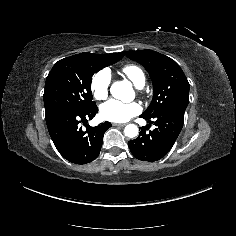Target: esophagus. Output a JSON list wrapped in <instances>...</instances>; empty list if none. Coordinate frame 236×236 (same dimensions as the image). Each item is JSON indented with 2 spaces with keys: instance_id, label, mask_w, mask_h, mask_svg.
<instances>
[{
  "instance_id": "34e87169",
  "label": "esophagus",
  "mask_w": 236,
  "mask_h": 236,
  "mask_svg": "<svg viewBox=\"0 0 236 236\" xmlns=\"http://www.w3.org/2000/svg\"><path fill=\"white\" fill-rule=\"evenodd\" d=\"M113 126L115 127H124L126 124L124 123H112Z\"/></svg>"
}]
</instances>
